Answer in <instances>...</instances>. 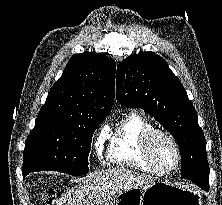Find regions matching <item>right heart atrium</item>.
Masks as SVG:
<instances>
[{
	"instance_id": "right-heart-atrium-1",
	"label": "right heart atrium",
	"mask_w": 222,
	"mask_h": 205,
	"mask_svg": "<svg viewBox=\"0 0 222 205\" xmlns=\"http://www.w3.org/2000/svg\"><path fill=\"white\" fill-rule=\"evenodd\" d=\"M104 140H105V131L102 130V131L99 133V135H98V137H97V139H96V142H95V147H96V150H97L98 153H99V152L101 151V149H102V145H103V143H104Z\"/></svg>"
}]
</instances>
